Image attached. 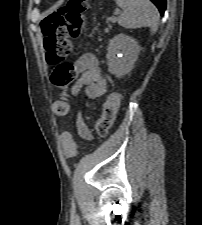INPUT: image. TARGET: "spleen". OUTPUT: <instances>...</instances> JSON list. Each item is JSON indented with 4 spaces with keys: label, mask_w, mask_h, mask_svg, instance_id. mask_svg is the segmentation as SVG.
Here are the masks:
<instances>
[{
    "label": "spleen",
    "mask_w": 202,
    "mask_h": 225,
    "mask_svg": "<svg viewBox=\"0 0 202 225\" xmlns=\"http://www.w3.org/2000/svg\"><path fill=\"white\" fill-rule=\"evenodd\" d=\"M123 10L118 18L119 25L125 28L150 27L155 33L159 24V13L149 0H115Z\"/></svg>",
    "instance_id": "1"
}]
</instances>
